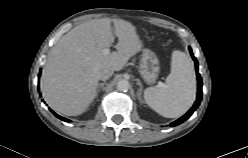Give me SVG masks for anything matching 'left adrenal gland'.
<instances>
[{"label": "left adrenal gland", "mask_w": 248, "mask_h": 158, "mask_svg": "<svg viewBox=\"0 0 248 158\" xmlns=\"http://www.w3.org/2000/svg\"><path fill=\"white\" fill-rule=\"evenodd\" d=\"M137 85L140 87L139 90H138L137 95H138V98H139L140 102L143 103V100L141 98L143 86H142V83L140 82V80H137Z\"/></svg>", "instance_id": "a2214340"}]
</instances>
